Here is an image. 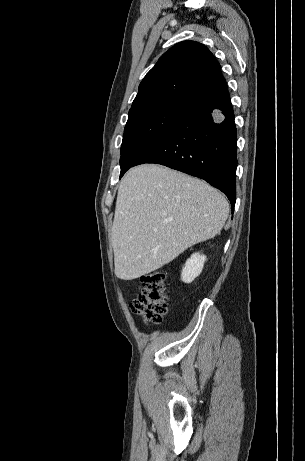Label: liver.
<instances>
[{"instance_id":"liver-1","label":"liver","mask_w":305,"mask_h":461,"mask_svg":"<svg viewBox=\"0 0 305 461\" xmlns=\"http://www.w3.org/2000/svg\"><path fill=\"white\" fill-rule=\"evenodd\" d=\"M226 198L207 183L163 166L129 170L118 189L112 226L115 275L133 280L220 234Z\"/></svg>"}]
</instances>
